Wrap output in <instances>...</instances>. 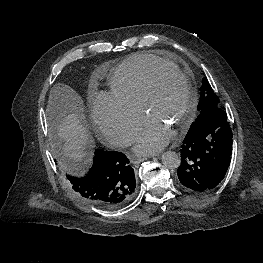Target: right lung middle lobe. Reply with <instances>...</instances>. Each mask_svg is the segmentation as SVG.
Wrapping results in <instances>:
<instances>
[{"label":"right lung middle lobe","instance_id":"obj_1","mask_svg":"<svg viewBox=\"0 0 263 263\" xmlns=\"http://www.w3.org/2000/svg\"><path fill=\"white\" fill-rule=\"evenodd\" d=\"M53 153L55 155V161L57 163L58 169L62 176L66 179H68L69 176H74V172L67 162L69 159L64 156L61 149V141L58 138H55L53 141Z\"/></svg>","mask_w":263,"mask_h":263}]
</instances>
